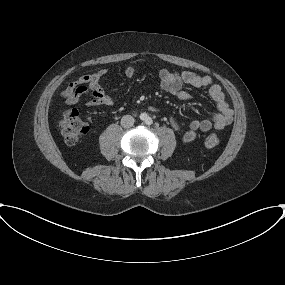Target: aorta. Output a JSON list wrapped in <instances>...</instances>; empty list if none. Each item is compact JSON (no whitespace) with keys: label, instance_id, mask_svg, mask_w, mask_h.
I'll return each instance as SVG.
<instances>
[{"label":"aorta","instance_id":"1","mask_svg":"<svg viewBox=\"0 0 285 285\" xmlns=\"http://www.w3.org/2000/svg\"><path fill=\"white\" fill-rule=\"evenodd\" d=\"M140 119L144 122H148L151 120V118L146 113H142Z\"/></svg>","mask_w":285,"mask_h":285}]
</instances>
